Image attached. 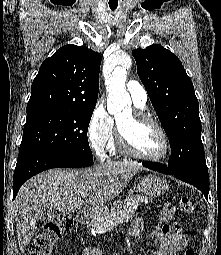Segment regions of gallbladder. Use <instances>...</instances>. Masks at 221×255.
<instances>
[{
  "instance_id": "gallbladder-1",
  "label": "gallbladder",
  "mask_w": 221,
  "mask_h": 255,
  "mask_svg": "<svg viewBox=\"0 0 221 255\" xmlns=\"http://www.w3.org/2000/svg\"><path fill=\"white\" fill-rule=\"evenodd\" d=\"M54 213H55L54 210H47L39 220L43 222L50 220L54 216Z\"/></svg>"
}]
</instances>
